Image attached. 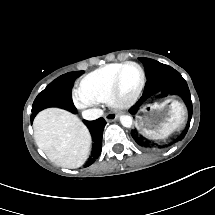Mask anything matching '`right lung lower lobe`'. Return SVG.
Listing matches in <instances>:
<instances>
[{
	"label": "right lung lower lobe",
	"mask_w": 215,
	"mask_h": 215,
	"mask_svg": "<svg viewBox=\"0 0 215 215\" xmlns=\"http://www.w3.org/2000/svg\"><path fill=\"white\" fill-rule=\"evenodd\" d=\"M34 118H31L33 120ZM85 124L89 128L92 137H93V146H92V151L91 155L85 164V166H89L93 164V162L100 156L101 154V147H102V134H103V129L105 127V120L103 118H99L94 121H85Z\"/></svg>",
	"instance_id": "98d812e1"
}]
</instances>
